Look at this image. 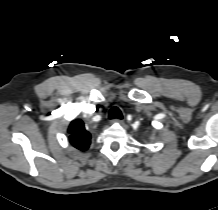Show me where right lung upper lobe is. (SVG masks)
Here are the masks:
<instances>
[{"label":"right lung upper lobe","instance_id":"cb5924a9","mask_svg":"<svg viewBox=\"0 0 218 210\" xmlns=\"http://www.w3.org/2000/svg\"><path fill=\"white\" fill-rule=\"evenodd\" d=\"M69 141L77 149L86 151L89 148L91 135L80 119L73 120L68 128Z\"/></svg>","mask_w":218,"mask_h":210}]
</instances>
